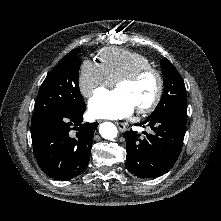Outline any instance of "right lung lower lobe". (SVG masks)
Wrapping results in <instances>:
<instances>
[{
    "label": "right lung lower lobe",
    "mask_w": 221,
    "mask_h": 221,
    "mask_svg": "<svg viewBox=\"0 0 221 221\" xmlns=\"http://www.w3.org/2000/svg\"><path fill=\"white\" fill-rule=\"evenodd\" d=\"M85 108L53 115L31 131L35 158L43 172L54 179H72L89 163L98 123H82Z\"/></svg>",
    "instance_id": "right-lung-lower-lobe-1"
}]
</instances>
